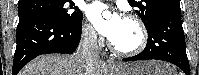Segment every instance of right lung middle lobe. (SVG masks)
<instances>
[{"label":"right lung middle lobe","mask_w":199,"mask_h":75,"mask_svg":"<svg viewBox=\"0 0 199 75\" xmlns=\"http://www.w3.org/2000/svg\"><path fill=\"white\" fill-rule=\"evenodd\" d=\"M18 14L19 18L26 15L43 16L64 26H73L83 16L70 0H23L18 2Z\"/></svg>","instance_id":"1"}]
</instances>
